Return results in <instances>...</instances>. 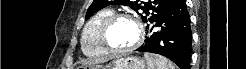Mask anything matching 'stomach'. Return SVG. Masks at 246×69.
I'll use <instances>...</instances> for the list:
<instances>
[{
  "instance_id": "obj_1",
  "label": "stomach",
  "mask_w": 246,
  "mask_h": 69,
  "mask_svg": "<svg viewBox=\"0 0 246 69\" xmlns=\"http://www.w3.org/2000/svg\"><path fill=\"white\" fill-rule=\"evenodd\" d=\"M77 69H147L144 59L139 57H121L114 59L107 65L96 63L79 66Z\"/></svg>"
}]
</instances>
